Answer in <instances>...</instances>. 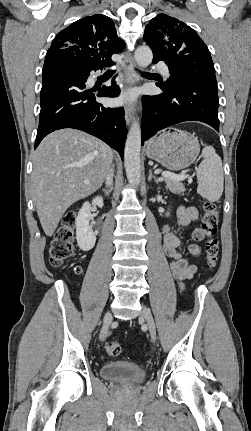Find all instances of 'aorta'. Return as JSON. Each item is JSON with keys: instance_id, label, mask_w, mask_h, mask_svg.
<instances>
[{"instance_id": "aorta-1", "label": "aorta", "mask_w": 251, "mask_h": 431, "mask_svg": "<svg viewBox=\"0 0 251 431\" xmlns=\"http://www.w3.org/2000/svg\"><path fill=\"white\" fill-rule=\"evenodd\" d=\"M137 64L144 68L153 59V53L147 46H140L134 54ZM141 128L137 121H134L129 129L124 150V164L128 182L133 186H138L141 182Z\"/></svg>"}]
</instances>
